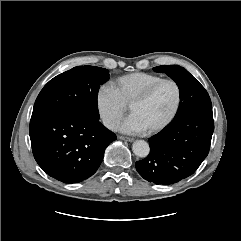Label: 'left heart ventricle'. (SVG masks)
Masks as SVG:
<instances>
[{
    "instance_id": "1",
    "label": "left heart ventricle",
    "mask_w": 241,
    "mask_h": 241,
    "mask_svg": "<svg viewBox=\"0 0 241 241\" xmlns=\"http://www.w3.org/2000/svg\"><path fill=\"white\" fill-rule=\"evenodd\" d=\"M177 93L170 83L162 84L143 104L134 106L131 113L137 115L147 129L162 123L172 112L176 103Z\"/></svg>"
}]
</instances>
